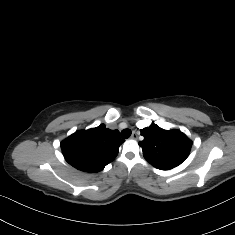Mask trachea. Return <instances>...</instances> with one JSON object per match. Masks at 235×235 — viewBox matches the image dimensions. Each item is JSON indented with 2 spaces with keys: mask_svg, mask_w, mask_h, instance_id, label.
Returning <instances> with one entry per match:
<instances>
[{
  "mask_svg": "<svg viewBox=\"0 0 235 235\" xmlns=\"http://www.w3.org/2000/svg\"><path fill=\"white\" fill-rule=\"evenodd\" d=\"M131 130L130 129H124V130H122L121 131V137L123 138V139H127V138H129L130 136H131Z\"/></svg>",
  "mask_w": 235,
  "mask_h": 235,
  "instance_id": "obj_1",
  "label": "trachea"
}]
</instances>
